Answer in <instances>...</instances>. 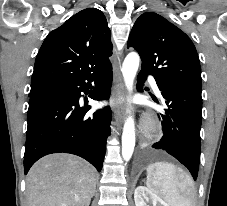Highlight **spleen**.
I'll use <instances>...</instances> for the list:
<instances>
[{
    "label": "spleen",
    "instance_id": "1",
    "mask_svg": "<svg viewBox=\"0 0 227 206\" xmlns=\"http://www.w3.org/2000/svg\"><path fill=\"white\" fill-rule=\"evenodd\" d=\"M146 184L169 206H193L195 194L190 177L171 163L150 164Z\"/></svg>",
    "mask_w": 227,
    "mask_h": 206
}]
</instances>
